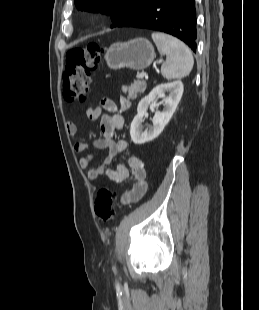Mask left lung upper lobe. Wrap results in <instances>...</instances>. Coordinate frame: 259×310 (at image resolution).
<instances>
[{
	"instance_id": "obj_1",
	"label": "left lung upper lobe",
	"mask_w": 259,
	"mask_h": 310,
	"mask_svg": "<svg viewBox=\"0 0 259 310\" xmlns=\"http://www.w3.org/2000/svg\"><path fill=\"white\" fill-rule=\"evenodd\" d=\"M78 10L90 12H101L110 15L113 24L116 26L119 22L129 16L131 13L146 5L152 0H74Z\"/></svg>"
}]
</instances>
